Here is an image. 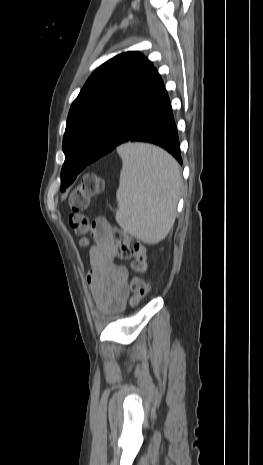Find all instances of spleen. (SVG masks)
Instances as JSON below:
<instances>
[{
	"label": "spleen",
	"mask_w": 263,
	"mask_h": 465,
	"mask_svg": "<svg viewBox=\"0 0 263 465\" xmlns=\"http://www.w3.org/2000/svg\"><path fill=\"white\" fill-rule=\"evenodd\" d=\"M122 158L116 221L146 243L164 239L173 227L182 184L176 160L158 147L128 143L117 148Z\"/></svg>",
	"instance_id": "3e777b00"
}]
</instances>
